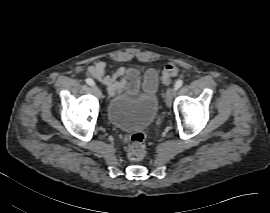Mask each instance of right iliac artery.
<instances>
[{
	"instance_id": "1",
	"label": "right iliac artery",
	"mask_w": 270,
	"mask_h": 213,
	"mask_svg": "<svg viewBox=\"0 0 270 213\" xmlns=\"http://www.w3.org/2000/svg\"><path fill=\"white\" fill-rule=\"evenodd\" d=\"M86 83L89 84L90 86H94L95 82L91 78L86 79Z\"/></svg>"
}]
</instances>
